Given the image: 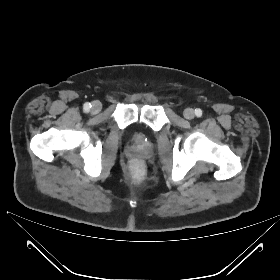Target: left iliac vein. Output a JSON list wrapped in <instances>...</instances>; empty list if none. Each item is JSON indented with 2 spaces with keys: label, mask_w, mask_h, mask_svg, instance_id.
<instances>
[{
  "label": "left iliac vein",
  "mask_w": 280,
  "mask_h": 280,
  "mask_svg": "<svg viewBox=\"0 0 280 280\" xmlns=\"http://www.w3.org/2000/svg\"><path fill=\"white\" fill-rule=\"evenodd\" d=\"M183 115L186 119L191 120L195 117V112L191 108H187L184 110Z\"/></svg>",
  "instance_id": "obj_1"
}]
</instances>
